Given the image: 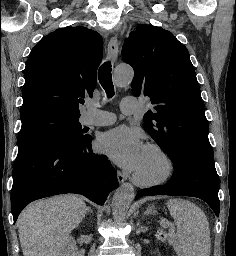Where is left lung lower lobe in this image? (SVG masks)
I'll use <instances>...</instances> for the list:
<instances>
[{"mask_svg":"<svg viewBox=\"0 0 236 256\" xmlns=\"http://www.w3.org/2000/svg\"><path fill=\"white\" fill-rule=\"evenodd\" d=\"M174 173L163 186L142 189L136 199L142 196L183 195L204 200L219 215V177L214 165V157L199 152H186L177 160H172Z\"/></svg>","mask_w":236,"mask_h":256,"instance_id":"obj_1","label":"left lung lower lobe"}]
</instances>
